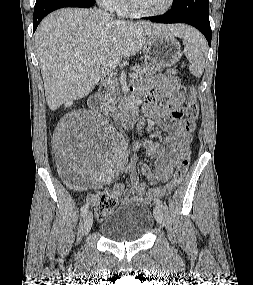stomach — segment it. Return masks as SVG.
I'll return each instance as SVG.
<instances>
[{
  "mask_svg": "<svg viewBox=\"0 0 253 285\" xmlns=\"http://www.w3.org/2000/svg\"><path fill=\"white\" fill-rule=\"evenodd\" d=\"M143 53L152 65L161 67L175 65L182 56L180 43L170 34L148 39L143 46Z\"/></svg>",
  "mask_w": 253,
  "mask_h": 285,
  "instance_id": "obj_1",
  "label": "stomach"
}]
</instances>
